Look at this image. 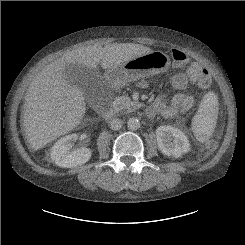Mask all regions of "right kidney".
Segmentation results:
<instances>
[{"label":"right kidney","mask_w":245,"mask_h":245,"mask_svg":"<svg viewBox=\"0 0 245 245\" xmlns=\"http://www.w3.org/2000/svg\"><path fill=\"white\" fill-rule=\"evenodd\" d=\"M78 135H67L59 139L51 149V159L59 167L71 168L84 164L91 158V150L85 147L72 148Z\"/></svg>","instance_id":"obj_1"}]
</instances>
